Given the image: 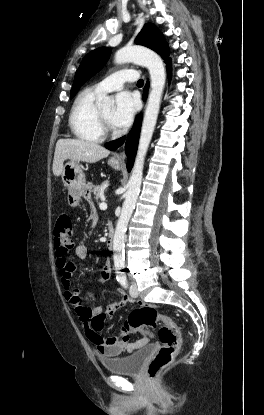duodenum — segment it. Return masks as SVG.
<instances>
[{
  "mask_svg": "<svg viewBox=\"0 0 264 415\" xmlns=\"http://www.w3.org/2000/svg\"><path fill=\"white\" fill-rule=\"evenodd\" d=\"M96 223V220L93 219L91 221V224L94 225ZM114 240H115V230L112 226V224L110 222H108V229H107V234H106V246L108 247V249H113L114 247Z\"/></svg>",
  "mask_w": 264,
  "mask_h": 415,
  "instance_id": "obj_1",
  "label": "duodenum"
}]
</instances>
